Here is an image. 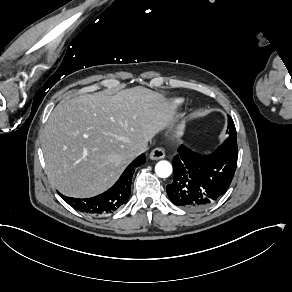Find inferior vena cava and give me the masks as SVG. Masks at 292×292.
Instances as JSON below:
<instances>
[{
  "label": "inferior vena cava",
  "mask_w": 292,
  "mask_h": 292,
  "mask_svg": "<svg viewBox=\"0 0 292 292\" xmlns=\"http://www.w3.org/2000/svg\"><path fill=\"white\" fill-rule=\"evenodd\" d=\"M147 150H148L147 144L142 145V146H139V147H137V148L134 149V155L135 156H138L141 153L146 152Z\"/></svg>",
  "instance_id": "obj_1"
}]
</instances>
